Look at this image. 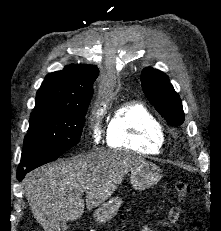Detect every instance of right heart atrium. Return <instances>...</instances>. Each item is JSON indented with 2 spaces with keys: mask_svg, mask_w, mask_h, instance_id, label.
Segmentation results:
<instances>
[{
  "mask_svg": "<svg viewBox=\"0 0 221 231\" xmlns=\"http://www.w3.org/2000/svg\"><path fill=\"white\" fill-rule=\"evenodd\" d=\"M94 138L96 141L99 139V129L97 127H94Z\"/></svg>",
  "mask_w": 221,
  "mask_h": 231,
  "instance_id": "d8ad5b80",
  "label": "right heart atrium"
}]
</instances>
